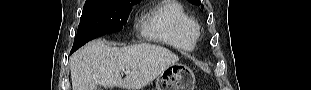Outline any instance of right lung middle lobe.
Wrapping results in <instances>:
<instances>
[{"label":"right lung middle lobe","instance_id":"right-lung-middle-lobe-1","mask_svg":"<svg viewBox=\"0 0 311 90\" xmlns=\"http://www.w3.org/2000/svg\"><path fill=\"white\" fill-rule=\"evenodd\" d=\"M139 0H87L72 50L99 36L121 31Z\"/></svg>","mask_w":311,"mask_h":90}]
</instances>
